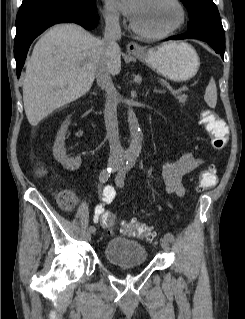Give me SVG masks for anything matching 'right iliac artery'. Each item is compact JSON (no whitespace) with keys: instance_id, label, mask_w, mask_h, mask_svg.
Wrapping results in <instances>:
<instances>
[{"instance_id":"obj_1","label":"right iliac artery","mask_w":245,"mask_h":319,"mask_svg":"<svg viewBox=\"0 0 245 319\" xmlns=\"http://www.w3.org/2000/svg\"><path fill=\"white\" fill-rule=\"evenodd\" d=\"M112 173V168L111 167H107L105 169H103L99 175V180L101 183H105L106 181H108V179L110 178ZM110 186H106L103 190V195L107 196L110 195ZM112 198H109V202H112ZM90 232L94 233L95 232V227L94 226H90L88 229Z\"/></svg>"}]
</instances>
